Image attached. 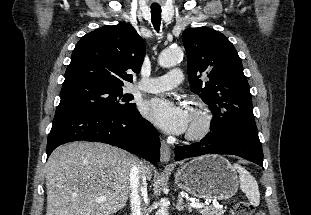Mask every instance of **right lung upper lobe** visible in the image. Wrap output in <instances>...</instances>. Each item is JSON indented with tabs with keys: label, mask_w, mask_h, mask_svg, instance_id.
<instances>
[{
	"label": "right lung upper lobe",
	"mask_w": 311,
	"mask_h": 215,
	"mask_svg": "<svg viewBox=\"0 0 311 215\" xmlns=\"http://www.w3.org/2000/svg\"><path fill=\"white\" fill-rule=\"evenodd\" d=\"M145 51L144 40L130 24L100 27L76 44L62 86L95 83L122 87L124 82H132L128 70L140 72Z\"/></svg>",
	"instance_id": "obj_1"
}]
</instances>
